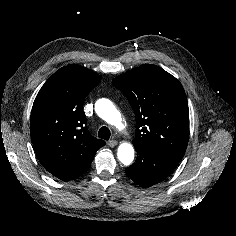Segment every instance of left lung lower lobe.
Wrapping results in <instances>:
<instances>
[{"label":"left lung lower lobe","instance_id":"0a47b994","mask_svg":"<svg viewBox=\"0 0 236 236\" xmlns=\"http://www.w3.org/2000/svg\"><path fill=\"white\" fill-rule=\"evenodd\" d=\"M135 164L126 173L138 185L147 188L163 181L177 166L181 159L154 150L136 147Z\"/></svg>","mask_w":236,"mask_h":236}]
</instances>
